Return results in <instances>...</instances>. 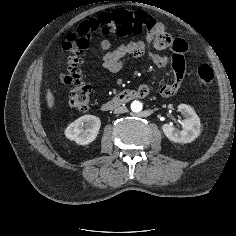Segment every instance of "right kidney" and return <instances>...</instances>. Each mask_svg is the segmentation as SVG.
<instances>
[{
    "label": "right kidney",
    "instance_id": "ca27d5eb",
    "mask_svg": "<svg viewBox=\"0 0 236 236\" xmlns=\"http://www.w3.org/2000/svg\"><path fill=\"white\" fill-rule=\"evenodd\" d=\"M101 121L94 115H84L72 122L65 130V136L78 145L93 142L100 130Z\"/></svg>",
    "mask_w": 236,
    "mask_h": 236
}]
</instances>
